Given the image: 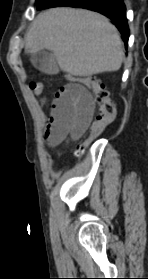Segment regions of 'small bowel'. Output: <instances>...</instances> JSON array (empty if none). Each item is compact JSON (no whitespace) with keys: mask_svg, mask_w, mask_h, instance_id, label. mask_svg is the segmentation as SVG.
Wrapping results in <instances>:
<instances>
[{"mask_svg":"<svg viewBox=\"0 0 148 279\" xmlns=\"http://www.w3.org/2000/svg\"><path fill=\"white\" fill-rule=\"evenodd\" d=\"M94 102L83 86L63 85L51 98L50 117L45 127V138L51 147L80 137L92 118Z\"/></svg>","mask_w":148,"mask_h":279,"instance_id":"obj_1","label":"small bowel"}]
</instances>
